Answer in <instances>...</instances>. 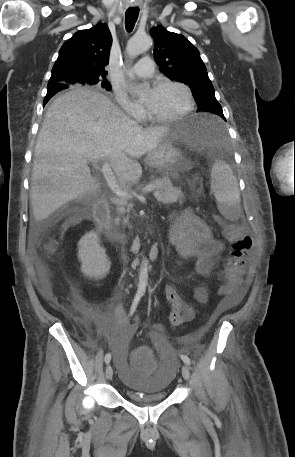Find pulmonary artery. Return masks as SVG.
Listing matches in <instances>:
<instances>
[{
	"mask_svg": "<svg viewBox=\"0 0 295 457\" xmlns=\"http://www.w3.org/2000/svg\"><path fill=\"white\" fill-rule=\"evenodd\" d=\"M154 72V62L150 57H143L131 69V74L138 77H149Z\"/></svg>",
	"mask_w": 295,
	"mask_h": 457,
	"instance_id": "1",
	"label": "pulmonary artery"
}]
</instances>
